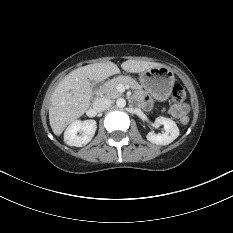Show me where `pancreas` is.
Here are the masks:
<instances>
[{"instance_id": "pancreas-1", "label": "pancreas", "mask_w": 233, "mask_h": 233, "mask_svg": "<svg viewBox=\"0 0 233 233\" xmlns=\"http://www.w3.org/2000/svg\"><path fill=\"white\" fill-rule=\"evenodd\" d=\"M119 84H123L125 86H129L133 90H141L142 86L135 81L133 78L130 76H119L116 78H113L112 80H109L106 82L101 88H100V94L104 95L105 97L108 98H117L122 95V92H119L117 90V86Z\"/></svg>"}]
</instances>
